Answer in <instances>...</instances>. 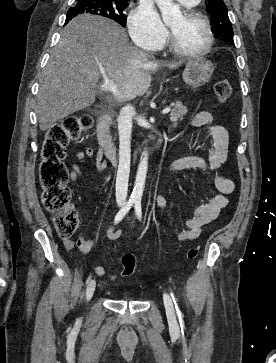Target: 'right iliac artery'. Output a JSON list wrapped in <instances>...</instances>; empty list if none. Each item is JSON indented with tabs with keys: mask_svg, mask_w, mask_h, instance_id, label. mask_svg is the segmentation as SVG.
<instances>
[{
	"mask_svg": "<svg viewBox=\"0 0 276 363\" xmlns=\"http://www.w3.org/2000/svg\"><path fill=\"white\" fill-rule=\"evenodd\" d=\"M134 203H135V201L131 200V199H129L126 202V204L122 207V209L115 216V220H114L115 224L119 223L124 218V216L126 215V213H128V211L131 209V207L133 206ZM90 280H91V275L88 277L86 284H88Z\"/></svg>",
	"mask_w": 276,
	"mask_h": 363,
	"instance_id": "1",
	"label": "right iliac artery"
}]
</instances>
